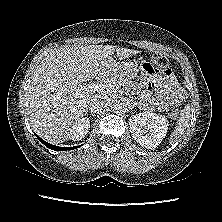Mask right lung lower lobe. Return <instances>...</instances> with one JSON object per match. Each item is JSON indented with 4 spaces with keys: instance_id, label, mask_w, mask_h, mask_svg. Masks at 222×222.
Masks as SVG:
<instances>
[{
    "instance_id": "obj_1",
    "label": "right lung lower lobe",
    "mask_w": 222,
    "mask_h": 222,
    "mask_svg": "<svg viewBox=\"0 0 222 222\" xmlns=\"http://www.w3.org/2000/svg\"><path fill=\"white\" fill-rule=\"evenodd\" d=\"M37 136V135H36ZM37 138L48 148L52 149V150H55V151H63V150H71V149H75L77 147H80V146H76V147H59V146H55V145H52V144H49L47 142H45L43 139H41L39 136H37Z\"/></svg>"
}]
</instances>
